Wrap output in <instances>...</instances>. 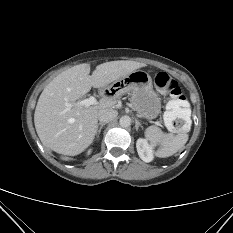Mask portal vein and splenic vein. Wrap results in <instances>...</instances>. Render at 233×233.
<instances>
[{"instance_id":"1","label":"portal vein and splenic vein","mask_w":233,"mask_h":233,"mask_svg":"<svg viewBox=\"0 0 233 233\" xmlns=\"http://www.w3.org/2000/svg\"><path fill=\"white\" fill-rule=\"evenodd\" d=\"M97 104H98V102H97L96 98L94 96H90L89 98L78 101L75 104L67 103L66 106H67V108H70L73 105H81V106L88 107V106L97 105Z\"/></svg>"}]
</instances>
